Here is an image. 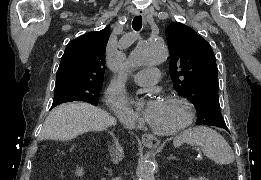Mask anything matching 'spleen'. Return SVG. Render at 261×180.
I'll use <instances>...</instances> for the list:
<instances>
[{
    "mask_svg": "<svg viewBox=\"0 0 261 180\" xmlns=\"http://www.w3.org/2000/svg\"><path fill=\"white\" fill-rule=\"evenodd\" d=\"M176 142H186L191 146H198L204 156L210 158L215 164H220V166H227V164L234 162L233 150H231L228 142L212 128H206V126L188 128V130L178 134Z\"/></svg>",
    "mask_w": 261,
    "mask_h": 180,
    "instance_id": "obj_1",
    "label": "spleen"
}]
</instances>
